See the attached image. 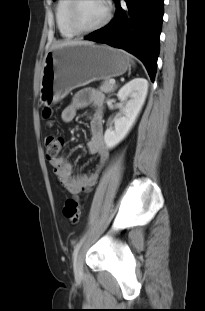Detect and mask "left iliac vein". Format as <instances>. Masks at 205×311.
I'll use <instances>...</instances> for the list:
<instances>
[{
  "instance_id": "obj_1",
  "label": "left iliac vein",
  "mask_w": 205,
  "mask_h": 311,
  "mask_svg": "<svg viewBox=\"0 0 205 311\" xmlns=\"http://www.w3.org/2000/svg\"><path fill=\"white\" fill-rule=\"evenodd\" d=\"M74 272L76 277H80L82 275V265L80 258H77L74 262Z\"/></svg>"
}]
</instances>
